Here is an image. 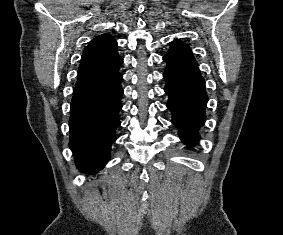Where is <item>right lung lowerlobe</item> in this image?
<instances>
[{
	"mask_svg": "<svg viewBox=\"0 0 283 235\" xmlns=\"http://www.w3.org/2000/svg\"><path fill=\"white\" fill-rule=\"evenodd\" d=\"M122 75L116 71L76 84L70 112V148L77 168L86 173L100 170L110 158L115 130L120 125Z\"/></svg>",
	"mask_w": 283,
	"mask_h": 235,
	"instance_id": "1",
	"label": "right lung lower lobe"
}]
</instances>
